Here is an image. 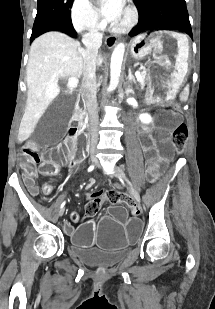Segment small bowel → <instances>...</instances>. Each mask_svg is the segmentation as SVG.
I'll list each match as a JSON object with an SVG mask.
<instances>
[{
	"mask_svg": "<svg viewBox=\"0 0 215 309\" xmlns=\"http://www.w3.org/2000/svg\"><path fill=\"white\" fill-rule=\"evenodd\" d=\"M31 185H32V184H31ZM37 192H38L37 188H35V187H32V188H31V193H32V194L35 195V194H37ZM130 207L132 208V212H133L135 209H139L135 202H132V204L130 205ZM133 214H134V213H133Z\"/></svg>",
	"mask_w": 215,
	"mask_h": 309,
	"instance_id": "1",
	"label": "small bowel"
}]
</instances>
